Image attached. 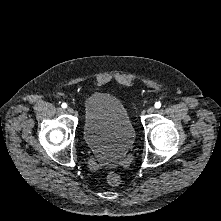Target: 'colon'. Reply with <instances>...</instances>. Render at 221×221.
Returning <instances> with one entry per match:
<instances>
[{"label":"colon","mask_w":221,"mask_h":221,"mask_svg":"<svg viewBox=\"0 0 221 221\" xmlns=\"http://www.w3.org/2000/svg\"><path fill=\"white\" fill-rule=\"evenodd\" d=\"M106 182L110 185H118L121 181L120 175L117 172L111 171L106 174Z\"/></svg>","instance_id":"5ec220e1"}]
</instances>
